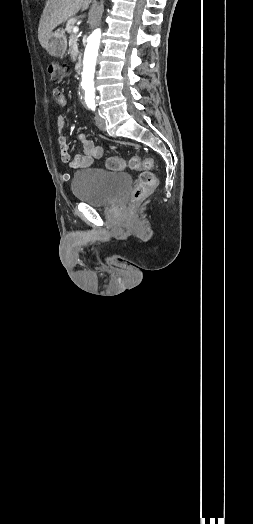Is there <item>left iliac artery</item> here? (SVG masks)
<instances>
[{"mask_svg": "<svg viewBox=\"0 0 253 524\" xmlns=\"http://www.w3.org/2000/svg\"><path fill=\"white\" fill-rule=\"evenodd\" d=\"M88 107L92 110H95V102L88 103Z\"/></svg>", "mask_w": 253, "mask_h": 524, "instance_id": "44dca946", "label": "left iliac artery"}]
</instances>
